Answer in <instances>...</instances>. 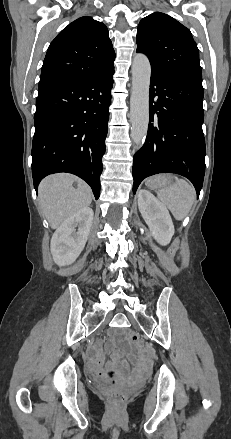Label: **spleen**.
I'll return each mask as SVG.
<instances>
[{
	"mask_svg": "<svg viewBox=\"0 0 231 439\" xmlns=\"http://www.w3.org/2000/svg\"><path fill=\"white\" fill-rule=\"evenodd\" d=\"M174 182L157 192L158 199L176 220H183L190 212L196 198L195 189L185 180L173 177Z\"/></svg>",
	"mask_w": 231,
	"mask_h": 439,
	"instance_id": "obj_1",
	"label": "spleen"
}]
</instances>
